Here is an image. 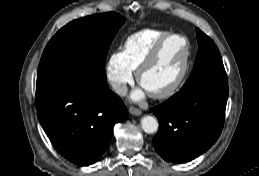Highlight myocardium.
Returning a JSON list of instances; mask_svg holds the SVG:
<instances>
[{"mask_svg": "<svg viewBox=\"0 0 259 176\" xmlns=\"http://www.w3.org/2000/svg\"><path fill=\"white\" fill-rule=\"evenodd\" d=\"M173 37H179L182 38L185 41V55L183 60V66L182 69L177 76V78L166 88L163 90L157 91V92H148L149 96L154 99H164L172 96L177 92V90L180 88L181 84L183 83L190 67V61H191V54H192V45L190 40L187 36L181 34V33H174L170 32L163 37H161L156 44L153 46L149 54L146 56V58L143 60V62L140 64L136 71V79L137 82L141 85V79L143 74L153 65V63L157 60L159 57L165 43L173 38Z\"/></svg>", "mask_w": 259, "mask_h": 176, "instance_id": "f54148a6", "label": "myocardium"}]
</instances>
